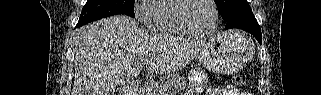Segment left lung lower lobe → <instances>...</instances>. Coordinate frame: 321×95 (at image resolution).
Here are the masks:
<instances>
[{"label":"left lung lower lobe","mask_w":321,"mask_h":95,"mask_svg":"<svg viewBox=\"0 0 321 95\" xmlns=\"http://www.w3.org/2000/svg\"><path fill=\"white\" fill-rule=\"evenodd\" d=\"M226 22V29H242L252 34L260 44L262 43L261 29L252 13V10L237 14Z\"/></svg>","instance_id":"left-lung-lower-lobe-1"}]
</instances>
